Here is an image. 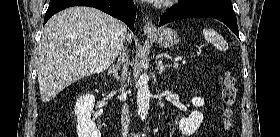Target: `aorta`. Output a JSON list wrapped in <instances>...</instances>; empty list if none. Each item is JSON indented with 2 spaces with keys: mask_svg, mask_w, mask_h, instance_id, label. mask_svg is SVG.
Here are the masks:
<instances>
[{
  "mask_svg": "<svg viewBox=\"0 0 280 137\" xmlns=\"http://www.w3.org/2000/svg\"><path fill=\"white\" fill-rule=\"evenodd\" d=\"M148 80V76L142 74L137 81V109L138 115L142 120L147 117L149 110L150 90L148 86Z\"/></svg>",
  "mask_w": 280,
  "mask_h": 137,
  "instance_id": "obj_1",
  "label": "aorta"
}]
</instances>
